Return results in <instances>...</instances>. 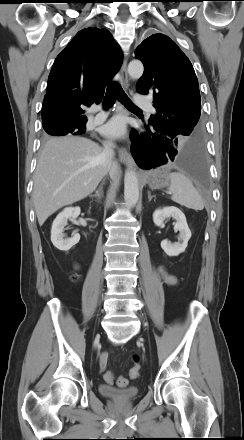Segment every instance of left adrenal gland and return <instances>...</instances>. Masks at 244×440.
I'll list each match as a JSON object with an SVG mask.
<instances>
[{
  "mask_svg": "<svg viewBox=\"0 0 244 440\" xmlns=\"http://www.w3.org/2000/svg\"><path fill=\"white\" fill-rule=\"evenodd\" d=\"M156 196L155 195H151L150 193H148V199H149V201H151L152 200V198H155Z\"/></svg>",
  "mask_w": 244,
  "mask_h": 440,
  "instance_id": "left-adrenal-gland-1",
  "label": "left adrenal gland"
}]
</instances>
